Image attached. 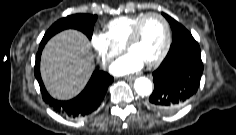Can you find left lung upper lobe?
<instances>
[{
	"label": "left lung upper lobe",
	"instance_id": "obj_1",
	"mask_svg": "<svg viewBox=\"0 0 236 135\" xmlns=\"http://www.w3.org/2000/svg\"><path fill=\"white\" fill-rule=\"evenodd\" d=\"M162 14H163V16H164L168 21L174 20L173 18H171V17L168 16L167 14H165V13H162ZM189 36H192L190 32H189Z\"/></svg>",
	"mask_w": 236,
	"mask_h": 135
}]
</instances>
